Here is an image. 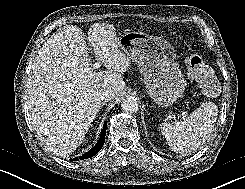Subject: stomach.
I'll return each mask as SVG.
<instances>
[{
	"instance_id": "obj_1",
	"label": "stomach",
	"mask_w": 245,
	"mask_h": 189,
	"mask_svg": "<svg viewBox=\"0 0 245 189\" xmlns=\"http://www.w3.org/2000/svg\"><path fill=\"white\" fill-rule=\"evenodd\" d=\"M118 48L136 62L154 102L166 107L182 96L186 81L168 41L142 32H126L118 38Z\"/></svg>"
}]
</instances>
